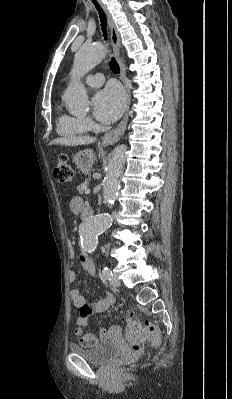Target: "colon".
<instances>
[{
	"label": "colon",
	"instance_id": "5ec220e1",
	"mask_svg": "<svg viewBox=\"0 0 232 399\" xmlns=\"http://www.w3.org/2000/svg\"><path fill=\"white\" fill-rule=\"evenodd\" d=\"M56 165L55 179H65L61 180V185H70L73 180V166H70L69 159H56L54 161ZM126 328H129L128 335L130 340H121V353H144V342L146 331L138 317H128L126 323ZM146 328H155V321H146ZM79 346L81 347H98V342H95V336L91 334L79 333Z\"/></svg>",
	"mask_w": 232,
	"mask_h": 399
}]
</instances>
